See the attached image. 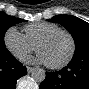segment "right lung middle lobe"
<instances>
[{"instance_id":"1","label":"right lung middle lobe","mask_w":89,"mask_h":89,"mask_svg":"<svg viewBox=\"0 0 89 89\" xmlns=\"http://www.w3.org/2000/svg\"><path fill=\"white\" fill-rule=\"evenodd\" d=\"M25 20L20 18H15L13 16H8L3 12H0V52L6 50L4 44L5 32L14 24L23 22Z\"/></svg>"}]
</instances>
